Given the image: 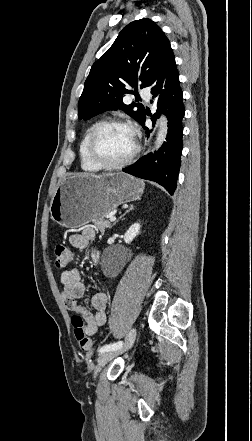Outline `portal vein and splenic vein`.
<instances>
[{"label":"portal vein and splenic vein","mask_w":252,"mask_h":441,"mask_svg":"<svg viewBox=\"0 0 252 441\" xmlns=\"http://www.w3.org/2000/svg\"><path fill=\"white\" fill-rule=\"evenodd\" d=\"M109 220H110L111 222H114V221L116 220V217H115V216H111Z\"/></svg>","instance_id":"portal-vein-and-splenic-vein-1"}]
</instances>
